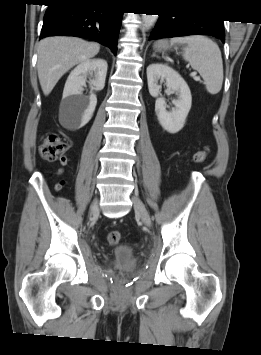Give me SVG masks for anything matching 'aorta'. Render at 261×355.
Listing matches in <instances>:
<instances>
[{"label": "aorta", "mask_w": 261, "mask_h": 355, "mask_svg": "<svg viewBox=\"0 0 261 355\" xmlns=\"http://www.w3.org/2000/svg\"><path fill=\"white\" fill-rule=\"evenodd\" d=\"M157 19H158V15L143 14L142 15L143 29L145 30L150 29L154 25Z\"/></svg>", "instance_id": "aorta-1"}]
</instances>
